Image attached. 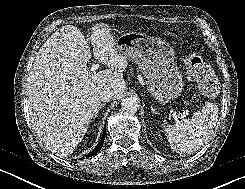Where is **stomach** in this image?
<instances>
[{
    "label": "stomach",
    "instance_id": "1",
    "mask_svg": "<svg viewBox=\"0 0 245 189\" xmlns=\"http://www.w3.org/2000/svg\"><path fill=\"white\" fill-rule=\"evenodd\" d=\"M115 49L138 64L148 91L160 103L170 102L180 95L185 83L169 43L143 33L129 32L115 39Z\"/></svg>",
    "mask_w": 245,
    "mask_h": 189
}]
</instances>
